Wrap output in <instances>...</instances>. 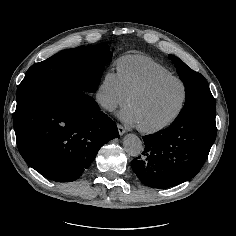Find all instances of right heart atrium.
<instances>
[{"mask_svg": "<svg viewBox=\"0 0 236 236\" xmlns=\"http://www.w3.org/2000/svg\"><path fill=\"white\" fill-rule=\"evenodd\" d=\"M97 104L107 112H113L116 108L124 106L129 98L122 86L118 72L107 70L94 93Z\"/></svg>", "mask_w": 236, "mask_h": 236, "instance_id": "obj_1", "label": "right heart atrium"}]
</instances>
